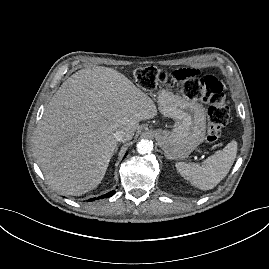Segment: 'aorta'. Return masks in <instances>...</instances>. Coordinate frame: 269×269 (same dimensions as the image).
Here are the masks:
<instances>
[{
  "label": "aorta",
  "instance_id": "762f6f07",
  "mask_svg": "<svg viewBox=\"0 0 269 269\" xmlns=\"http://www.w3.org/2000/svg\"><path fill=\"white\" fill-rule=\"evenodd\" d=\"M153 150V142L147 139H142L137 144V151L139 154H149Z\"/></svg>",
  "mask_w": 269,
  "mask_h": 269
}]
</instances>
